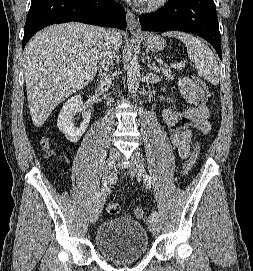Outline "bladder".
I'll list each match as a JSON object with an SVG mask.
<instances>
[{
  "mask_svg": "<svg viewBox=\"0 0 253 271\" xmlns=\"http://www.w3.org/2000/svg\"><path fill=\"white\" fill-rule=\"evenodd\" d=\"M95 247L102 256L116 263L140 259L148 250L149 239L144 226L129 218H112L95 233Z\"/></svg>",
  "mask_w": 253,
  "mask_h": 271,
  "instance_id": "31cf9c89",
  "label": "bladder"
}]
</instances>
